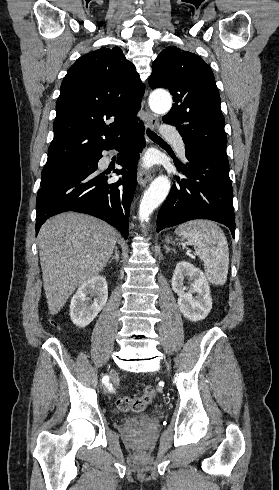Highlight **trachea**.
<instances>
[{
  "instance_id": "trachea-1",
  "label": "trachea",
  "mask_w": 279,
  "mask_h": 490,
  "mask_svg": "<svg viewBox=\"0 0 279 490\" xmlns=\"http://www.w3.org/2000/svg\"><path fill=\"white\" fill-rule=\"evenodd\" d=\"M147 135L149 136V138H151V140L155 141L156 143H166L161 137H158V135H156V133L154 132L147 130Z\"/></svg>"
}]
</instances>
